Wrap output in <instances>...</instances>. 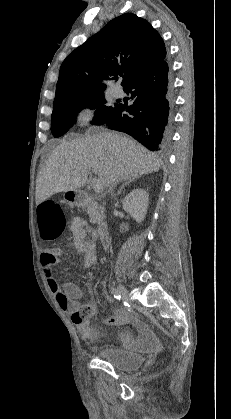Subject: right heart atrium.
Here are the masks:
<instances>
[{"instance_id":"d8ad5b80","label":"right heart atrium","mask_w":231,"mask_h":419,"mask_svg":"<svg viewBox=\"0 0 231 419\" xmlns=\"http://www.w3.org/2000/svg\"><path fill=\"white\" fill-rule=\"evenodd\" d=\"M94 116V110L91 107H82L77 113V122L81 125L88 124Z\"/></svg>"}]
</instances>
